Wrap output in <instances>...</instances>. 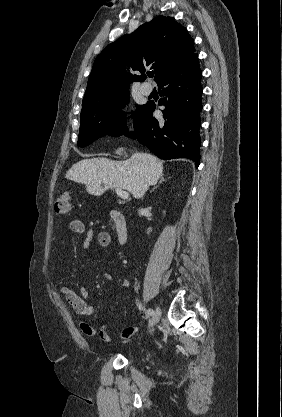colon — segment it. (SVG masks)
I'll list each match as a JSON object with an SVG mask.
<instances>
[{
  "mask_svg": "<svg viewBox=\"0 0 282 417\" xmlns=\"http://www.w3.org/2000/svg\"><path fill=\"white\" fill-rule=\"evenodd\" d=\"M72 199L67 191L61 192L54 200V212L58 215L65 216L69 213Z\"/></svg>",
  "mask_w": 282,
  "mask_h": 417,
  "instance_id": "obj_1",
  "label": "colon"
}]
</instances>
